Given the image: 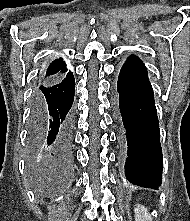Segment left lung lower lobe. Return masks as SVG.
Returning a JSON list of instances; mask_svg holds the SVG:
<instances>
[{
	"instance_id": "left-lung-lower-lobe-1",
	"label": "left lung lower lobe",
	"mask_w": 190,
	"mask_h": 221,
	"mask_svg": "<svg viewBox=\"0 0 190 221\" xmlns=\"http://www.w3.org/2000/svg\"><path fill=\"white\" fill-rule=\"evenodd\" d=\"M117 91L127 137L126 178L132 184L158 189L163 165L159 122L146 67L136 56L122 66Z\"/></svg>"
}]
</instances>
